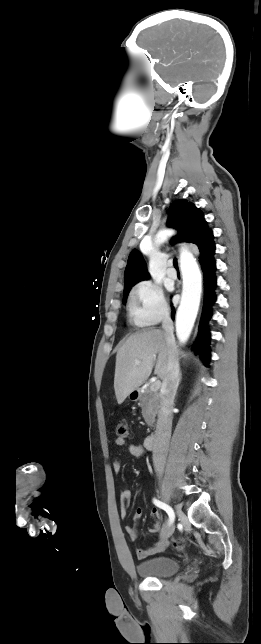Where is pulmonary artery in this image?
I'll return each mask as SVG.
<instances>
[{
  "instance_id": "1",
  "label": "pulmonary artery",
  "mask_w": 261,
  "mask_h": 644,
  "mask_svg": "<svg viewBox=\"0 0 261 644\" xmlns=\"http://www.w3.org/2000/svg\"><path fill=\"white\" fill-rule=\"evenodd\" d=\"M167 275H168L170 278H172V279H176V278H177V272H176V270H175L173 267L168 268V270H167Z\"/></svg>"
}]
</instances>
